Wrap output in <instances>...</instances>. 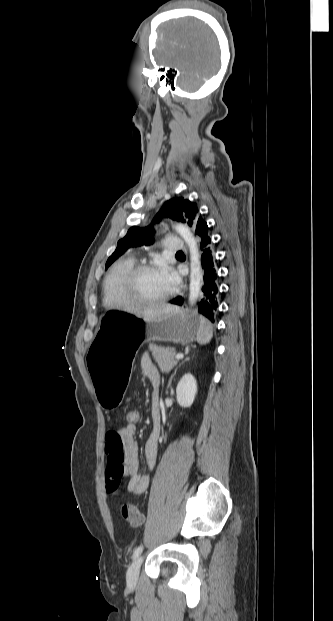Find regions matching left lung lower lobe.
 Segmentation results:
<instances>
[{"mask_svg":"<svg viewBox=\"0 0 333 621\" xmlns=\"http://www.w3.org/2000/svg\"><path fill=\"white\" fill-rule=\"evenodd\" d=\"M197 235V241L202 252V278H203V298L201 299L199 306V312L207 317L211 322H214L215 313L219 306V288H218V273L216 267L215 254L211 245V238L208 233V225L195 231ZM172 304L182 305L183 298L178 296L171 301Z\"/></svg>","mask_w":333,"mask_h":621,"instance_id":"left-lung-lower-lobe-1","label":"left lung lower lobe"}]
</instances>
